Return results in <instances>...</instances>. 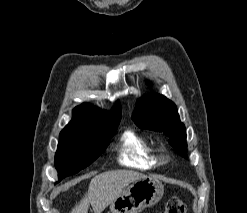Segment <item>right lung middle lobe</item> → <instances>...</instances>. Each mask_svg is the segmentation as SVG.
Wrapping results in <instances>:
<instances>
[{
  "label": "right lung middle lobe",
  "instance_id": "dd1d6c3e",
  "mask_svg": "<svg viewBox=\"0 0 247 213\" xmlns=\"http://www.w3.org/2000/svg\"><path fill=\"white\" fill-rule=\"evenodd\" d=\"M119 123L105 126L86 134H60L55 154V167L59 180L90 165L106 150L107 143Z\"/></svg>",
  "mask_w": 247,
  "mask_h": 213
}]
</instances>
